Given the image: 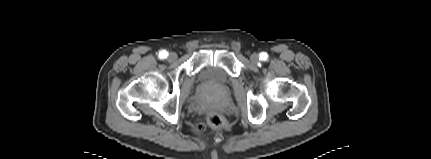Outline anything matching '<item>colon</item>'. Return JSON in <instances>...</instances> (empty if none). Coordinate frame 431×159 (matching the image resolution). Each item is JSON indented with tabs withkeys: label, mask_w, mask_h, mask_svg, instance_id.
Listing matches in <instances>:
<instances>
[{
	"label": "colon",
	"mask_w": 431,
	"mask_h": 159,
	"mask_svg": "<svg viewBox=\"0 0 431 159\" xmlns=\"http://www.w3.org/2000/svg\"><path fill=\"white\" fill-rule=\"evenodd\" d=\"M207 124L212 128L220 129L224 126L225 121H224V118L220 114L210 113L207 117ZM204 128H205L204 124H199L197 127V129L199 131L204 130Z\"/></svg>",
	"instance_id": "obj_1"
}]
</instances>
